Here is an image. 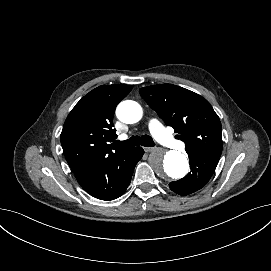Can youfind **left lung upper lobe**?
<instances>
[{
    "instance_id": "left-lung-upper-lobe-1",
    "label": "left lung upper lobe",
    "mask_w": 271,
    "mask_h": 271,
    "mask_svg": "<svg viewBox=\"0 0 271 271\" xmlns=\"http://www.w3.org/2000/svg\"><path fill=\"white\" fill-rule=\"evenodd\" d=\"M146 103L166 125L179 133L186 151L222 153L221 123L210 103L202 96L172 84H158L139 90Z\"/></svg>"
}]
</instances>
